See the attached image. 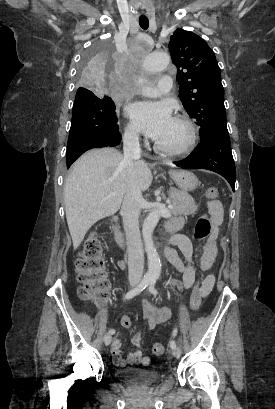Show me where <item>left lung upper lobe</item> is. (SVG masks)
<instances>
[{
	"label": "left lung upper lobe",
	"instance_id": "1",
	"mask_svg": "<svg viewBox=\"0 0 275 409\" xmlns=\"http://www.w3.org/2000/svg\"><path fill=\"white\" fill-rule=\"evenodd\" d=\"M169 50L177 67L179 98L187 113L200 126V139L228 133L221 71L214 52L198 35L178 28Z\"/></svg>",
	"mask_w": 275,
	"mask_h": 409
}]
</instances>
